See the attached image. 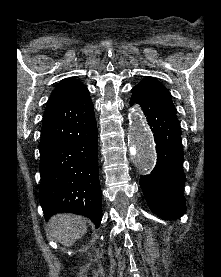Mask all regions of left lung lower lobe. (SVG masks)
I'll list each match as a JSON object with an SVG mask.
<instances>
[{"label": "left lung lower lobe", "instance_id": "left-lung-lower-lobe-1", "mask_svg": "<svg viewBox=\"0 0 221 277\" xmlns=\"http://www.w3.org/2000/svg\"><path fill=\"white\" fill-rule=\"evenodd\" d=\"M131 91L130 104H139L147 116L157 152L156 166L151 174L140 177V187L155 214L177 219L186 211L180 123L145 89L135 86Z\"/></svg>", "mask_w": 221, "mask_h": 277}]
</instances>
